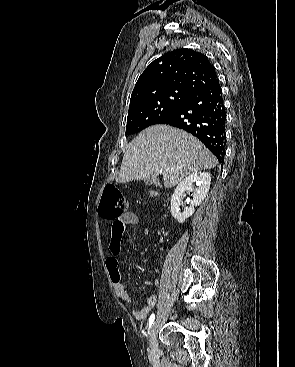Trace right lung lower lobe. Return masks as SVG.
Here are the masks:
<instances>
[{
	"mask_svg": "<svg viewBox=\"0 0 295 367\" xmlns=\"http://www.w3.org/2000/svg\"><path fill=\"white\" fill-rule=\"evenodd\" d=\"M225 121L222 91L219 80L216 79L190 94L175 111L156 124L170 125L193 134L223 162Z\"/></svg>",
	"mask_w": 295,
	"mask_h": 367,
	"instance_id": "1",
	"label": "right lung lower lobe"
}]
</instances>
